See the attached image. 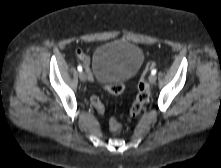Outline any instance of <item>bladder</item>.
Here are the masks:
<instances>
[{
  "label": "bladder",
  "instance_id": "obj_1",
  "mask_svg": "<svg viewBox=\"0 0 221 168\" xmlns=\"http://www.w3.org/2000/svg\"><path fill=\"white\" fill-rule=\"evenodd\" d=\"M144 60L142 50L125 40L98 46L92 56V69L100 83L122 82L133 77Z\"/></svg>",
  "mask_w": 221,
  "mask_h": 168
}]
</instances>
